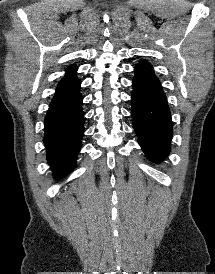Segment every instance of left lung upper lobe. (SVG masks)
I'll use <instances>...</instances> for the list:
<instances>
[{
	"mask_svg": "<svg viewBox=\"0 0 215 274\" xmlns=\"http://www.w3.org/2000/svg\"><path fill=\"white\" fill-rule=\"evenodd\" d=\"M138 66H144V67H148V68H152L151 64L146 61V60H141L139 64H137Z\"/></svg>",
	"mask_w": 215,
	"mask_h": 274,
	"instance_id": "left-lung-upper-lobe-1",
	"label": "left lung upper lobe"
}]
</instances>
